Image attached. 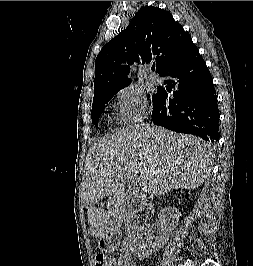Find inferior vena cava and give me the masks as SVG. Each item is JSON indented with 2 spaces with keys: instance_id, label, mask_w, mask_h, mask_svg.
Segmentation results:
<instances>
[{
  "instance_id": "602c4592",
  "label": "inferior vena cava",
  "mask_w": 253,
  "mask_h": 266,
  "mask_svg": "<svg viewBox=\"0 0 253 266\" xmlns=\"http://www.w3.org/2000/svg\"><path fill=\"white\" fill-rule=\"evenodd\" d=\"M148 193H149V197L152 198L153 197V194H151L150 191ZM126 217H127V215H126Z\"/></svg>"
}]
</instances>
